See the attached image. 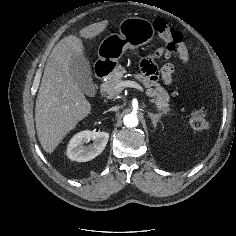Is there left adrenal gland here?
<instances>
[{
  "label": "left adrenal gland",
  "instance_id": "left-adrenal-gland-1",
  "mask_svg": "<svg viewBox=\"0 0 236 236\" xmlns=\"http://www.w3.org/2000/svg\"><path fill=\"white\" fill-rule=\"evenodd\" d=\"M148 116L150 117L153 127H157V123L160 121L161 114H153L151 112H148Z\"/></svg>",
  "mask_w": 236,
  "mask_h": 236
}]
</instances>
